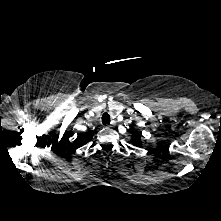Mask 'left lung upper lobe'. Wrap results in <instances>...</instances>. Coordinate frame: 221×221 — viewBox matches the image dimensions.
I'll return each instance as SVG.
<instances>
[{
    "instance_id": "left-lung-upper-lobe-1",
    "label": "left lung upper lobe",
    "mask_w": 221,
    "mask_h": 221,
    "mask_svg": "<svg viewBox=\"0 0 221 221\" xmlns=\"http://www.w3.org/2000/svg\"><path fill=\"white\" fill-rule=\"evenodd\" d=\"M131 141L135 146L141 147L140 135L137 132L133 133L131 136Z\"/></svg>"
}]
</instances>
